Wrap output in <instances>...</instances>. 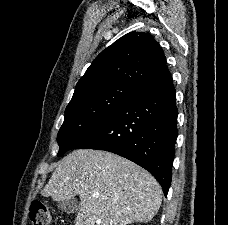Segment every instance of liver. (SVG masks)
<instances>
[{"label":"liver","instance_id":"6515ba94","mask_svg":"<svg viewBox=\"0 0 228 225\" xmlns=\"http://www.w3.org/2000/svg\"><path fill=\"white\" fill-rule=\"evenodd\" d=\"M162 193L156 179L138 165L93 149H77L64 157L41 191L54 201L79 195L75 225L150 223L161 207Z\"/></svg>","mask_w":228,"mask_h":225}]
</instances>
